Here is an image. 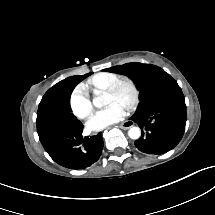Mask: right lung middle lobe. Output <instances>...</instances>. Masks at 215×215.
Masks as SVG:
<instances>
[{"label": "right lung middle lobe", "mask_w": 215, "mask_h": 215, "mask_svg": "<svg viewBox=\"0 0 215 215\" xmlns=\"http://www.w3.org/2000/svg\"><path fill=\"white\" fill-rule=\"evenodd\" d=\"M91 73L66 78L43 96L37 111V130L50 126L81 127L83 124L72 114L70 95L75 86Z\"/></svg>", "instance_id": "right-lung-middle-lobe-1"}]
</instances>
